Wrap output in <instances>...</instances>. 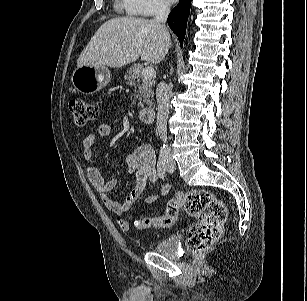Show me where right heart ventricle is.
I'll return each instance as SVG.
<instances>
[{
    "label": "right heart ventricle",
    "instance_id": "obj_1",
    "mask_svg": "<svg viewBox=\"0 0 307 301\" xmlns=\"http://www.w3.org/2000/svg\"><path fill=\"white\" fill-rule=\"evenodd\" d=\"M118 2L122 9H125L130 14H134L129 8L128 0H118Z\"/></svg>",
    "mask_w": 307,
    "mask_h": 301
}]
</instances>
